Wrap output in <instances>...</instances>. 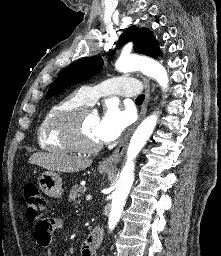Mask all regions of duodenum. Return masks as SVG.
<instances>
[{
	"mask_svg": "<svg viewBox=\"0 0 221 256\" xmlns=\"http://www.w3.org/2000/svg\"><path fill=\"white\" fill-rule=\"evenodd\" d=\"M101 239L102 229L99 226H96L87 236L85 242L93 251H95L100 245Z\"/></svg>",
	"mask_w": 221,
	"mask_h": 256,
	"instance_id": "obj_1",
	"label": "duodenum"
}]
</instances>
